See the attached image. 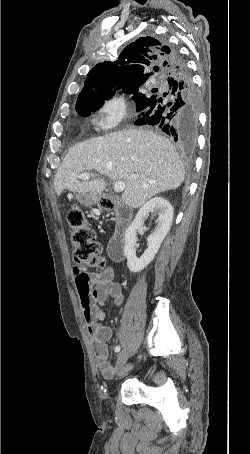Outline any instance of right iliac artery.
<instances>
[{
	"mask_svg": "<svg viewBox=\"0 0 250 454\" xmlns=\"http://www.w3.org/2000/svg\"><path fill=\"white\" fill-rule=\"evenodd\" d=\"M119 351H120V345L115 347V352H119Z\"/></svg>",
	"mask_w": 250,
	"mask_h": 454,
	"instance_id": "right-iliac-artery-1",
	"label": "right iliac artery"
}]
</instances>
